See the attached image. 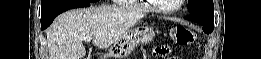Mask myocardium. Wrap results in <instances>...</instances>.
<instances>
[{
    "label": "myocardium",
    "mask_w": 261,
    "mask_h": 59,
    "mask_svg": "<svg viewBox=\"0 0 261 59\" xmlns=\"http://www.w3.org/2000/svg\"><path fill=\"white\" fill-rule=\"evenodd\" d=\"M183 2H184V0H179V3L176 7L172 8V9H165V8L158 7L155 1H152V0L148 1V3L150 4V6L152 7L153 10H155L158 13H163V14H170V13L177 12L178 10L181 9Z\"/></svg>",
    "instance_id": "1"
}]
</instances>
